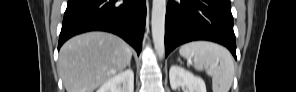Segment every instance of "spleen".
<instances>
[{
    "label": "spleen",
    "instance_id": "1",
    "mask_svg": "<svg viewBox=\"0 0 296 92\" xmlns=\"http://www.w3.org/2000/svg\"><path fill=\"white\" fill-rule=\"evenodd\" d=\"M179 53L194 60L197 70L212 77L213 92H229L234 77V63L229 51L215 43L194 41L181 46Z\"/></svg>",
    "mask_w": 296,
    "mask_h": 92
}]
</instances>
